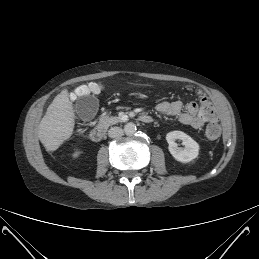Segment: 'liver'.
<instances>
[{"mask_svg": "<svg viewBox=\"0 0 259 259\" xmlns=\"http://www.w3.org/2000/svg\"><path fill=\"white\" fill-rule=\"evenodd\" d=\"M75 110L67 90L58 94L48 106L39 124L38 137L46 151H55L71 137L75 125Z\"/></svg>", "mask_w": 259, "mask_h": 259, "instance_id": "6515ba94", "label": "liver"}]
</instances>
